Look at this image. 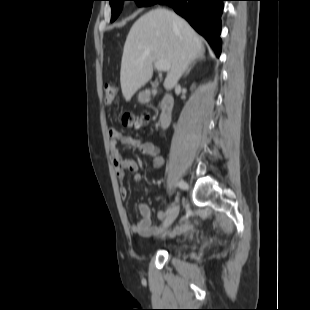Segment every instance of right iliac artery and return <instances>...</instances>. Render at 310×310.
<instances>
[{"instance_id":"1","label":"right iliac artery","mask_w":310,"mask_h":310,"mask_svg":"<svg viewBox=\"0 0 310 310\" xmlns=\"http://www.w3.org/2000/svg\"><path fill=\"white\" fill-rule=\"evenodd\" d=\"M177 185H178L181 189H184V190L188 189V185H187L185 182H183V181L179 182ZM171 210H173V209H171ZM171 210L167 211V213H169Z\"/></svg>"}]
</instances>
